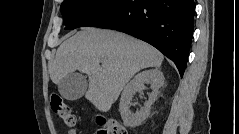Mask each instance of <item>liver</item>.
<instances>
[{
    "instance_id": "obj_1",
    "label": "liver",
    "mask_w": 239,
    "mask_h": 134,
    "mask_svg": "<svg viewBox=\"0 0 239 134\" xmlns=\"http://www.w3.org/2000/svg\"><path fill=\"white\" fill-rule=\"evenodd\" d=\"M162 61L163 55L146 42L112 30L85 28L59 46L49 73L55 84L76 70L87 74L85 98L107 112L138 71L159 68Z\"/></svg>"
}]
</instances>
